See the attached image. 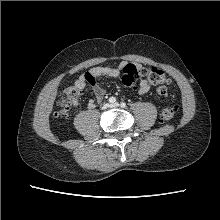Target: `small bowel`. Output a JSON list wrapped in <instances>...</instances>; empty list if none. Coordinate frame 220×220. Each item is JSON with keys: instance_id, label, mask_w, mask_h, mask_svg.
<instances>
[{"instance_id": "c3829d8e", "label": "small bowel", "mask_w": 220, "mask_h": 220, "mask_svg": "<svg viewBox=\"0 0 220 220\" xmlns=\"http://www.w3.org/2000/svg\"><path fill=\"white\" fill-rule=\"evenodd\" d=\"M111 66H97L92 68L90 71L82 75L76 82L75 85L83 89L87 84L92 88L95 95L94 98L90 99L87 103L89 109L95 108L104 98L105 90L99 85L98 80L102 77L116 78L120 74L121 67ZM150 90V84L147 80L141 79L139 83L138 92L141 95L148 93Z\"/></svg>"}]
</instances>
